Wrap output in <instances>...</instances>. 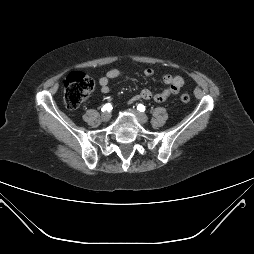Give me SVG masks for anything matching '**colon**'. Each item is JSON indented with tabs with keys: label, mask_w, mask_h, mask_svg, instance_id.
I'll return each mask as SVG.
<instances>
[{
	"label": "colon",
	"mask_w": 254,
	"mask_h": 254,
	"mask_svg": "<svg viewBox=\"0 0 254 254\" xmlns=\"http://www.w3.org/2000/svg\"><path fill=\"white\" fill-rule=\"evenodd\" d=\"M94 80L83 72H72L64 81V103L69 109L78 108L94 90ZM184 103L190 101V96L186 93L180 96Z\"/></svg>",
	"instance_id": "obj_1"
}]
</instances>
